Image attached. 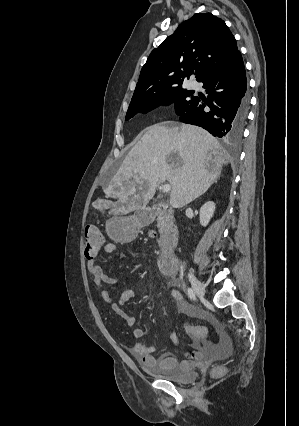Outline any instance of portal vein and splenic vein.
Returning <instances> with one entry per match:
<instances>
[{
    "mask_svg": "<svg viewBox=\"0 0 299 426\" xmlns=\"http://www.w3.org/2000/svg\"><path fill=\"white\" fill-rule=\"evenodd\" d=\"M161 187H162L163 192H165V193H168L171 190V186L169 184H164Z\"/></svg>",
    "mask_w": 299,
    "mask_h": 426,
    "instance_id": "portal-vein-and-splenic-vein-1",
    "label": "portal vein and splenic vein"
}]
</instances>
